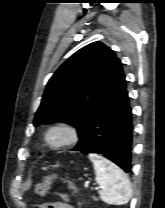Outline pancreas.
Segmentation results:
<instances>
[{
	"mask_svg": "<svg viewBox=\"0 0 165 208\" xmlns=\"http://www.w3.org/2000/svg\"><path fill=\"white\" fill-rule=\"evenodd\" d=\"M93 199H94V200H97V198H96V197H93Z\"/></svg>",
	"mask_w": 165,
	"mask_h": 208,
	"instance_id": "cf45deb5",
	"label": "pancreas"
}]
</instances>
